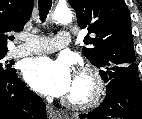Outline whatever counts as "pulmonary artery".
Returning a JSON list of instances; mask_svg holds the SVG:
<instances>
[{
	"label": "pulmonary artery",
	"instance_id": "obj_1",
	"mask_svg": "<svg viewBox=\"0 0 142 119\" xmlns=\"http://www.w3.org/2000/svg\"><path fill=\"white\" fill-rule=\"evenodd\" d=\"M20 39L23 44L11 50L10 55L12 57L51 53L68 46L71 42V36L67 31H61L58 36L53 38L25 34Z\"/></svg>",
	"mask_w": 142,
	"mask_h": 119
}]
</instances>
